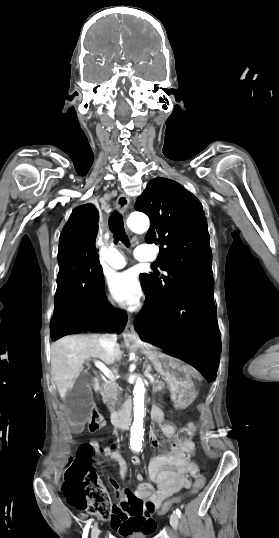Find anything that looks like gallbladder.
<instances>
[{
  "label": "gallbladder",
  "instance_id": "obj_1",
  "mask_svg": "<svg viewBox=\"0 0 279 538\" xmlns=\"http://www.w3.org/2000/svg\"><path fill=\"white\" fill-rule=\"evenodd\" d=\"M93 384V376L88 372H81L74 382L73 388L68 390L67 397L64 398L60 409L64 413H69L71 422L90 423L92 415L88 412L87 405L93 403V396L90 386ZM78 429V426H75Z\"/></svg>",
  "mask_w": 279,
  "mask_h": 538
}]
</instances>
